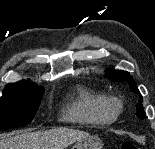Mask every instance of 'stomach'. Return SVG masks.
Segmentation results:
<instances>
[{"label": "stomach", "instance_id": "stomach-1", "mask_svg": "<svg viewBox=\"0 0 155 149\" xmlns=\"http://www.w3.org/2000/svg\"><path fill=\"white\" fill-rule=\"evenodd\" d=\"M102 145L99 137L88 135L76 141L71 149H102Z\"/></svg>", "mask_w": 155, "mask_h": 149}]
</instances>
